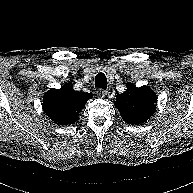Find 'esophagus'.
Returning a JSON list of instances; mask_svg holds the SVG:
<instances>
[{
  "label": "esophagus",
  "instance_id": "34e87169",
  "mask_svg": "<svg viewBox=\"0 0 193 193\" xmlns=\"http://www.w3.org/2000/svg\"><path fill=\"white\" fill-rule=\"evenodd\" d=\"M96 93H97V95H98L99 97H101V98H103V97H105V96L107 95V91L104 90V89H98V90L96 91Z\"/></svg>",
  "mask_w": 193,
  "mask_h": 193
}]
</instances>
